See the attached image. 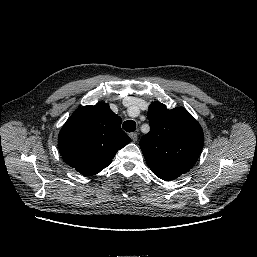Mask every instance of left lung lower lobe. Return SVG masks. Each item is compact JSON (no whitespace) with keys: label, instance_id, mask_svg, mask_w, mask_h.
I'll return each instance as SVG.
<instances>
[{"label":"left lung lower lobe","instance_id":"obj_1","mask_svg":"<svg viewBox=\"0 0 257 257\" xmlns=\"http://www.w3.org/2000/svg\"><path fill=\"white\" fill-rule=\"evenodd\" d=\"M157 176V175H156ZM159 177L160 179L162 180H166V181H169V180H174L173 178H169V177H163V176H157Z\"/></svg>","mask_w":257,"mask_h":257}]
</instances>
